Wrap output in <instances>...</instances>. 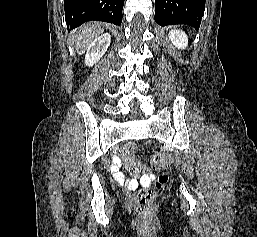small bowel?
I'll list each match as a JSON object with an SVG mask.
<instances>
[{
	"mask_svg": "<svg viewBox=\"0 0 257 237\" xmlns=\"http://www.w3.org/2000/svg\"><path fill=\"white\" fill-rule=\"evenodd\" d=\"M120 166H121V161L118 158H115L110 170L113 173L114 177L119 182H124L125 175L120 171ZM150 179H151V176L145 175V176H142L139 181L141 184H147L150 181Z\"/></svg>",
	"mask_w": 257,
	"mask_h": 237,
	"instance_id": "c3829d8e",
	"label": "small bowel"
}]
</instances>
